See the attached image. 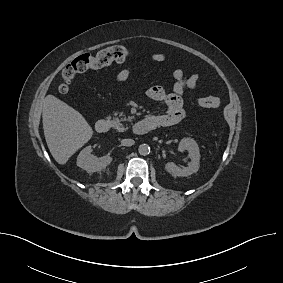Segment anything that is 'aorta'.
<instances>
[{
  "label": "aorta",
  "instance_id": "obj_1",
  "mask_svg": "<svg viewBox=\"0 0 283 283\" xmlns=\"http://www.w3.org/2000/svg\"><path fill=\"white\" fill-rule=\"evenodd\" d=\"M140 155L146 156L150 153V146L148 144H141L138 148Z\"/></svg>",
  "mask_w": 283,
  "mask_h": 283
}]
</instances>
